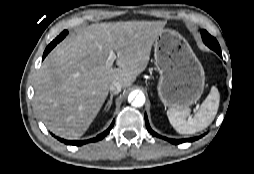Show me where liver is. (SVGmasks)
<instances>
[{"mask_svg": "<svg viewBox=\"0 0 254 174\" xmlns=\"http://www.w3.org/2000/svg\"><path fill=\"white\" fill-rule=\"evenodd\" d=\"M165 21L92 24L66 38L38 71L34 107L46 127L65 139H78L89 128L108 93L120 82L127 88L147 67L151 48ZM110 51L118 68L106 65Z\"/></svg>", "mask_w": 254, "mask_h": 174, "instance_id": "6515ba94", "label": "liver"}]
</instances>
